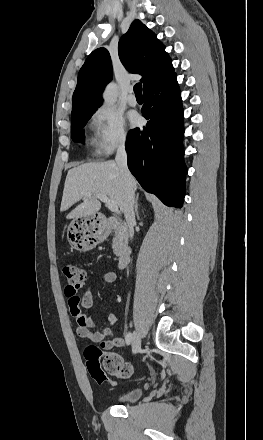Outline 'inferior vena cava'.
Masks as SVG:
<instances>
[{
    "label": "inferior vena cava",
    "mask_w": 263,
    "mask_h": 440,
    "mask_svg": "<svg viewBox=\"0 0 263 440\" xmlns=\"http://www.w3.org/2000/svg\"><path fill=\"white\" fill-rule=\"evenodd\" d=\"M116 164L118 165L123 180V211L129 227V235H134L133 225L135 223L134 213V190L132 187V175L127 166V153L125 150V139H123L117 149Z\"/></svg>",
    "instance_id": "inferior-vena-cava-1"
}]
</instances>
